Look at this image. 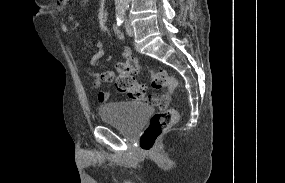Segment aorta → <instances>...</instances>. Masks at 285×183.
Returning a JSON list of instances; mask_svg holds the SVG:
<instances>
[{"instance_id": "762f6f07", "label": "aorta", "mask_w": 285, "mask_h": 183, "mask_svg": "<svg viewBox=\"0 0 285 183\" xmlns=\"http://www.w3.org/2000/svg\"><path fill=\"white\" fill-rule=\"evenodd\" d=\"M130 0H115L116 9H126L129 7Z\"/></svg>"}]
</instances>
